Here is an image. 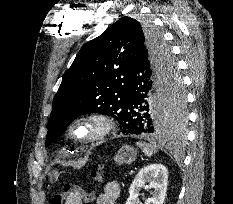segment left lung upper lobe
Returning <instances> with one entry per match:
<instances>
[{
  "instance_id": "1",
  "label": "left lung upper lobe",
  "mask_w": 233,
  "mask_h": 204,
  "mask_svg": "<svg viewBox=\"0 0 233 204\" xmlns=\"http://www.w3.org/2000/svg\"><path fill=\"white\" fill-rule=\"evenodd\" d=\"M141 48L149 51L153 67L167 85L160 131L185 122L181 79L169 87L176 67L170 48L150 25L124 16L102 35L85 44L63 75L48 120L46 147L83 114L110 115L121 124L122 105L129 93L130 71Z\"/></svg>"
}]
</instances>
